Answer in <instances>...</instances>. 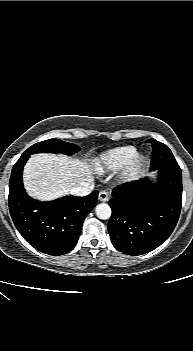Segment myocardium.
I'll use <instances>...</instances> for the list:
<instances>
[{
	"label": "myocardium",
	"instance_id": "1",
	"mask_svg": "<svg viewBox=\"0 0 193 351\" xmlns=\"http://www.w3.org/2000/svg\"><path fill=\"white\" fill-rule=\"evenodd\" d=\"M139 162V160L137 158L133 159L131 162H130V165H135Z\"/></svg>",
	"mask_w": 193,
	"mask_h": 351
}]
</instances>
